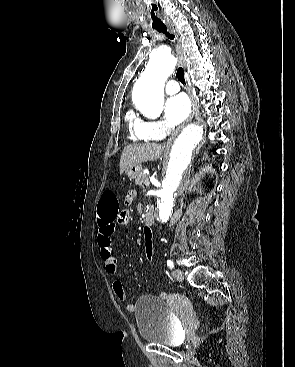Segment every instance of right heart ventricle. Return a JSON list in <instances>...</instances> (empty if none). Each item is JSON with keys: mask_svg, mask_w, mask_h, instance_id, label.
<instances>
[{"mask_svg": "<svg viewBox=\"0 0 295 367\" xmlns=\"http://www.w3.org/2000/svg\"><path fill=\"white\" fill-rule=\"evenodd\" d=\"M129 130L137 141L146 142L152 140L145 131L146 122L142 120L134 111L129 110L125 116Z\"/></svg>", "mask_w": 295, "mask_h": 367, "instance_id": "1", "label": "right heart ventricle"}]
</instances>
